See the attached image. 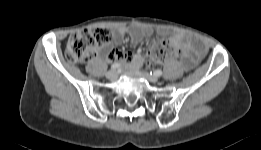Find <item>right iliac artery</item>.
Returning <instances> with one entry per match:
<instances>
[{"mask_svg": "<svg viewBox=\"0 0 261 150\" xmlns=\"http://www.w3.org/2000/svg\"><path fill=\"white\" fill-rule=\"evenodd\" d=\"M120 67V64L119 63H114L111 65V69H117Z\"/></svg>", "mask_w": 261, "mask_h": 150, "instance_id": "right-iliac-artery-1", "label": "right iliac artery"}]
</instances>
